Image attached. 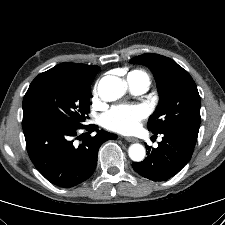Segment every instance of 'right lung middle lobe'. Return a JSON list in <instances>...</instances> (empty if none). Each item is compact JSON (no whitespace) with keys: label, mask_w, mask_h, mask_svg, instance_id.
<instances>
[{"label":"right lung middle lobe","mask_w":225,"mask_h":225,"mask_svg":"<svg viewBox=\"0 0 225 225\" xmlns=\"http://www.w3.org/2000/svg\"><path fill=\"white\" fill-rule=\"evenodd\" d=\"M95 75L96 72L59 65L39 74L24 96L23 119L45 117L83 127L90 110V87Z\"/></svg>","instance_id":"dd1d6c3e"}]
</instances>
